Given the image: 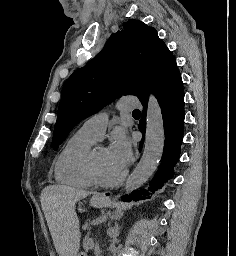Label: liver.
Returning a JSON list of instances; mask_svg holds the SVG:
<instances>
[{"label":"liver","mask_w":236,"mask_h":256,"mask_svg":"<svg viewBox=\"0 0 236 256\" xmlns=\"http://www.w3.org/2000/svg\"><path fill=\"white\" fill-rule=\"evenodd\" d=\"M91 192L68 186H47L41 194V206L60 256H76L80 246V226L76 202Z\"/></svg>","instance_id":"1"}]
</instances>
